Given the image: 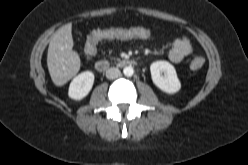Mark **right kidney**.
<instances>
[{"instance_id":"right-kidney-1","label":"right kidney","mask_w":248,"mask_h":165,"mask_svg":"<svg viewBox=\"0 0 248 165\" xmlns=\"http://www.w3.org/2000/svg\"><path fill=\"white\" fill-rule=\"evenodd\" d=\"M94 83V74L84 71L76 76L69 86L68 95L74 100H81L88 95Z\"/></svg>"}]
</instances>
